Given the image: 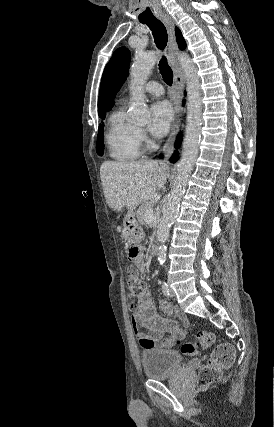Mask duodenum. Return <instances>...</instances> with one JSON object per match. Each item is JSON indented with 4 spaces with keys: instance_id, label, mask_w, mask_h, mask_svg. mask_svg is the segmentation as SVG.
I'll return each mask as SVG.
<instances>
[{
    "instance_id": "1",
    "label": "duodenum",
    "mask_w": 274,
    "mask_h": 427,
    "mask_svg": "<svg viewBox=\"0 0 274 427\" xmlns=\"http://www.w3.org/2000/svg\"><path fill=\"white\" fill-rule=\"evenodd\" d=\"M151 252H152L153 255H156L158 253V246H156V245L153 246L152 249H151Z\"/></svg>"
}]
</instances>
